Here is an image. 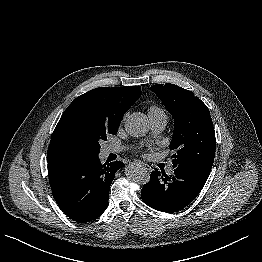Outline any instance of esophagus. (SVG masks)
<instances>
[{
    "label": "esophagus",
    "mask_w": 262,
    "mask_h": 262,
    "mask_svg": "<svg viewBox=\"0 0 262 262\" xmlns=\"http://www.w3.org/2000/svg\"><path fill=\"white\" fill-rule=\"evenodd\" d=\"M139 164H141L144 167V169H146L148 171L151 170V167L148 164H146L144 162H139Z\"/></svg>",
    "instance_id": "1"
}]
</instances>
